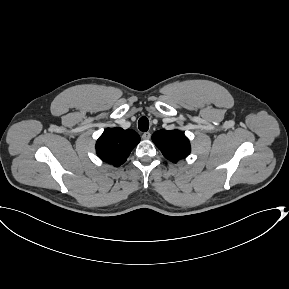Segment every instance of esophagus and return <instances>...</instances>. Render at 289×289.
<instances>
[{"instance_id": "esophagus-1", "label": "esophagus", "mask_w": 289, "mask_h": 289, "mask_svg": "<svg viewBox=\"0 0 289 289\" xmlns=\"http://www.w3.org/2000/svg\"><path fill=\"white\" fill-rule=\"evenodd\" d=\"M150 138H151V133L150 132H144L142 134V139L149 140Z\"/></svg>"}]
</instances>
